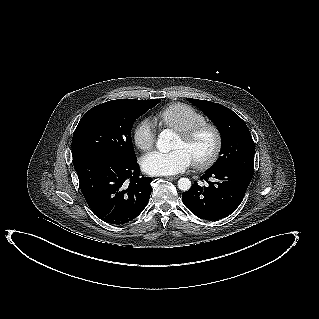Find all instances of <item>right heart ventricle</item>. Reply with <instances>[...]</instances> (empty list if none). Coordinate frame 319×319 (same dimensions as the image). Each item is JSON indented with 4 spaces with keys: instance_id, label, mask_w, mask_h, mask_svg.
<instances>
[{
    "instance_id": "obj_1",
    "label": "right heart ventricle",
    "mask_w": 319,
    "mask_h": 319,
    "mask_svg": "<svg viewBox=\"0 0 319 319\" xmlns=\"http://www.w3.org/2000/svg\"><path fill=\"white\" fill-rule=\"evenodd\" d=\"M155 119L164 127L176 132L206 122L205 116L192 106L184 103L170 104L157 112Z\"/></svg>"
}]
</instances>
